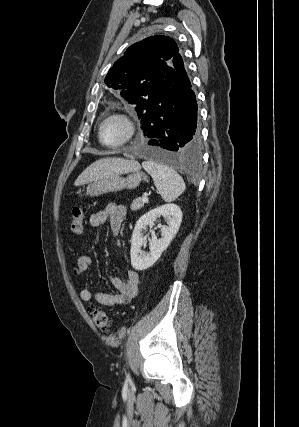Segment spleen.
Masks as SVG:
<instances>
[{"label":"spleen","mask_w":299,"mask_h":427,"mask_svg":"<svg viewBox=\"0 0 299 427\" xmlns=\"http://www.w3.org/2000/svg\"><path fill=\"white\" fill-rule=\"evenodd\" d=\"M165 202H172L185 190L183 178L172 168L153 160L142 163Z\"/></svg>","instance_id":"obj_1"}]
</instances>
